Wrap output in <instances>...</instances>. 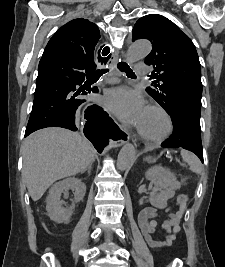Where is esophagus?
Returning a JSON list of instances; mask_svg holds the SVG:
<instances>
[{
	"label": "esophagus",
	"instance_id": "esophagus-1",
	"mask_svg": "<svg viewBox=\"0 0 225 267\" xmlns=\"http://www.w3.org/2000/svg\"><path fill=\"white\" fill-rule=\"evenodd\" d=\"M120 60L121 59L119 58L118 55H114L113 58L111 59V64L114 65V66H116ZM129 139H130L129 134L126 131H123L122 130V132H121V139L117 142V145L118 146H121L124 143L128 142Z\"/></svg>",
	"mask_w": 225,
	"mask_h": 267
}]
</instances>
